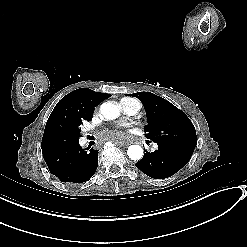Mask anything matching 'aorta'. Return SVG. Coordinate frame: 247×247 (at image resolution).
Masks as SVG:
<instances>
[{
  "mask_svg": "<svg viewBox=\"0 0 247 247\" xmlns=\"http://www.w3.org/2000/svg\"><path fill=\"white\" fill-rule=\"evenodd\" d=\"M100 113L105 119L113 120L119 116L120 110L116 104L104 102L100 106ZM127 154L131 160H140L143 157L144 152L141 146L131 145L127 150Z\"/></svg>",
  "mask_w": 247,
  "mask_h": 247,
  "instance_id": "obj_1",
  "label": "aorta"
}]
</instances>
